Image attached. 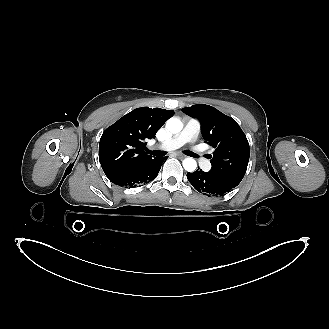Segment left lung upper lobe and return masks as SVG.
I'll return each mask as SVG.
<instances>
[{"mask_svg":"<svg viewBox=\"0 0 329 329\" xmlns=\"http://www.w3.org/2000/svg\"><path fill=\"white\" fill-rule=\"evenodd\" d=\"M182 111L200 121L205 142L215 148L209 172L239 185L247 170L250 149L237 122L205 104L185 107Z\"/></svg>","mask_w":329,"mask_h":329,"instance_id":"1","label":"left lung upper lobe"}]
</instances>
